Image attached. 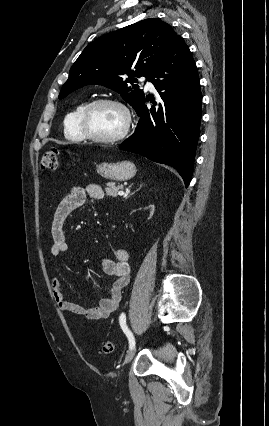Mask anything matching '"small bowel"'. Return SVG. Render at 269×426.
<instances>
[{"instance_id": "1", "label": "small bowel", "mask_w": 269, "mask_h": 426, "mask_svg": "<svg viewBox=\"0 0 269 426\" xmlns=\"http://www.w3.org/2000/svg\"><path fill=\"white\" fill-rule=\"evenodd\" d=\"M104 192L101 186L90 184L85 187L76 186L59 203L51 225L53 244L50 254L56 258L68 251L65 224L69 217L87 198L102 199ZM102 269L105 275L113 279L111 295L101 299L94 307H86L67 299L65 288L57 276L50 279L53 294L61 312L89 320H103L116 312L122 300V291L130 279L129 253L125 249H117L113 258L102 260Z\"/></svg>"}]
</instances>
